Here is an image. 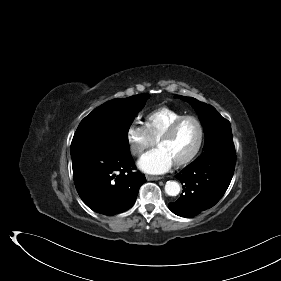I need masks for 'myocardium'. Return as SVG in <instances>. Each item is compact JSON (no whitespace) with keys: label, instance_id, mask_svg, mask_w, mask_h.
I'll list each match as a JSON object with an SVG mask.
<instances>
[{"label":"myocardium","instance_id":"1","mask_svg":"<svg viewBox=\"0 0 281 281\" xmlns=\"http://www.w3.org/2000/svg\"><path fill=\"white\" fill-rule=\"evenodd\" d=\"M187 119H192L196 122L199 129V138L194 150L184 159L174 163L177 167H182L190 164L198 156L204 141V127L201 120L195 115H183L173 121L157 141V145L159 146L160 143L169 140L175 134L180 124Z\"/></svg>","mask_w":281,"mask_h":281}]
</instances>
